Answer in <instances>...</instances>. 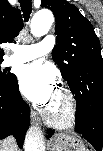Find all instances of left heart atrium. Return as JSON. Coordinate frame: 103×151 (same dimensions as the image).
<instances>
[{
  "mask_svg": "<svg viewBox=\"0 0 103 151\" xmlns=\"http://www.w3.org/2000/svg\"><path fill=\"white\" fill-rule=\"evenodd\" d=\"M19 86L26 98L41 106H49L58 92L53 71L41 62L21 69Z\"/></svg>",
  "mask_w": 103,
  "mask_h": 151,
  "instance_id": "obj_1",
  "label": "left heart atrium"
}]
</instances>
